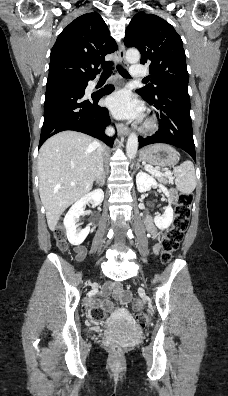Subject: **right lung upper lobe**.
Here are the masks:
<instances>
[{
    "instance_id": "cb5924a9",
    "label": "right lung upper lobe",
    "mask_w": 228,
    "mask_h": 396,
    "mask_svg": "<svg viewBox=\"0 0 228 396\" xmlns=\"http://www.w3.org/2000/svg\"><path fill=\"white\" fill-rule=\"evenodd\" d=\"M116 50V42L98 13L76 18L60 33L51 50L47 86L94 79L100 64H112L105 61V56Z\"/></svg>"
}]
</instances>
